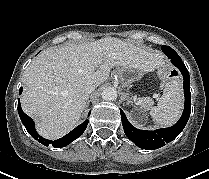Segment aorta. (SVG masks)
<instances>
[{
  "mask_svg": "<svg viewBox=\"0 0 209 179\" xmlns=\"http://www.w3.org/2000/svg\"><path fill=\"white\" fill-rule=\"evenodd\" d=\"M102 99L105 101H113L117 99V91L113 87L105 88L101 93Z\"/></svg>",
  "mask_w": 209,
  "mask_h": 179,
  "instance_id": "aorta-1",
  "label": "aorta"
}]
</instances>
